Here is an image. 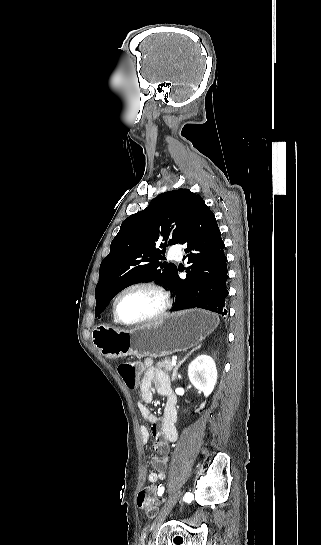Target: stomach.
Instances as JSON below:
<instances>
[{
  "label": "stomach",
  "mask_w": 321,
  "mask_h": 545,
  "mask_svg": "<svg viewBox=\"0 0 321 545\" xmlns=\"http://www.w3.org/2000/svg\"><path fill=\"white\" fill-rule=\"evenodd\" d=\"M219 323L217 315L189 309L162 317L154 323L119 331L109 325H96L92 331L95 349L103 357H165L195 347Z\"/></svg>",
  "instance_id": "stomach-1"
}]
</instances>
